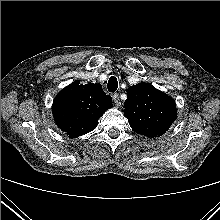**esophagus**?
<instances>
[{
  "mask_svg": "<svg viewBox=\"0 0 220 220\" xmlns=\"http://www.w3.org/2000/svg\"><path fill=\"white\" fill-rule=\"evenodd\" d=\"M113 101H114V103H115V105L116 106H120V97H119V94H117V93H115V94H113Z\"/></svg>",
  "mask_w": 220,
  "mask_h": 220,
  "instance_id": "esophagus-1",
  "label": "esophagus"
}]
</instances>
